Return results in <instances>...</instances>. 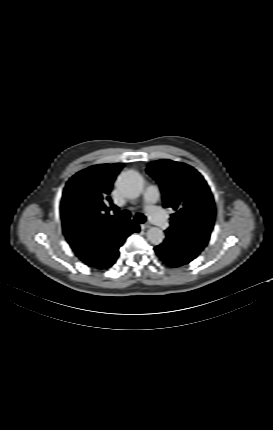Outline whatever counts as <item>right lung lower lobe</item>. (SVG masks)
Masks as SVG:
<instances>
[{
  "instance_id": "right-lung-lower-lobe-1",
  "label": "right lung lower lobe",
  "mask_w": 273,
  "mask_h": 430,
  "mask_svg": "<svg viewBox=\"0 0 273 430\" xmlns=\"http://www.w3.org/2000/svg\"><path fill=\"white\" fill-rule=\"evenodd\" d=\"M139 226L133 221L115 232L102 233L96 243L90 248V256L83 261L89 266L104 269L112 266L119 256V247L125 239L134 232H139ZM74 250V246L70 244Z\"/></svg>"
}]
</instances>
